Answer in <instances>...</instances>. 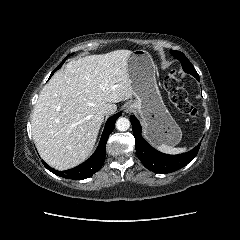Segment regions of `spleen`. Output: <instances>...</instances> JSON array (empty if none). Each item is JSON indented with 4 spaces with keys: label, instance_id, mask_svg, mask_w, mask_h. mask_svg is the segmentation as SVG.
Instances as JSON below:
<instances>
[{
    "label": "spleen",
    "instance_id": "spleen-1",
    "mask_svg": "<svg viewBox=\"0 0 240 240\" xmlns=\"http://www.w3.org/2000/svg\"><path fill=\"white\" fill-rule=\"evenodd\" d=\"M156 148L159 151H161L163 153H167V154H179V153L186 151V148H175V147L168 146L165 144L158 145V146H156Z\"/></svg>",
    "mask_w": 240,
    "mask_h": 240
}]
</instances>
